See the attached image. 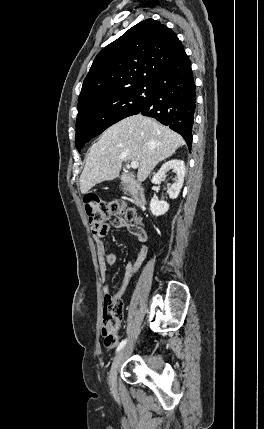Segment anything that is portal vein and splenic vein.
Listing matches in <instances>:
<instances>
[{
    "label": "portal vein and splenic vein",
    "mask_w": 264,
    "mask_h": 429,
    "mask_svg": "<svg viewBox=\"0 0 264 429\" xmlns=\"http://www.w3.org/2000/svg\"><path fill=\"white\" fill-rule=\"evenodd\" d=\"M131 168L133 169H138L139 168V163L138 161H132L130 164Z\"/></svg>",
    "instance_id": "18ae733b"
}]
</instances>
